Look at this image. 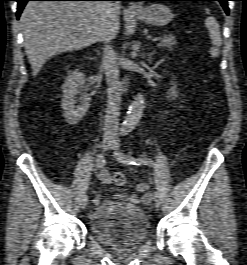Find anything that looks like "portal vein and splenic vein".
I'll use <instances>...</instances> for the list:
<instances>
[{"label":"portal vein and splenic vein","mask_w":247,"mask_h":265,"mask_svg":"<svg viewBox=\"0 0 247 265\" xmlns=\"http://www.w3.org/2000/svg\"><path fill=\"white\" fill-rule=\"evenodd\" d=\"M159 40H160V37H155V38L152 39V42H157Z\"/></svg>","instance_id":"obj_1"}]
</instances>
